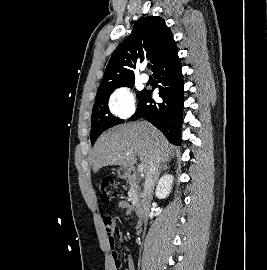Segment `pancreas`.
<instances>
[{"label": "pancreas", "mask_w": 267, "mask_h": 270, "mask_svg": "<svg viewBox=\"0 0 267 270\" xmlns=\"http://www.w3.org/2000/svg\"><path fill=\"white\" fill-rule=\"evenodd\" d=\"M128 197L129 201H131L133 204H137L140 201V194H139V188L137 187L136 183H131L130 190L128 191Z\"/></svg>", "instance_id": "1"}]
</instances>
